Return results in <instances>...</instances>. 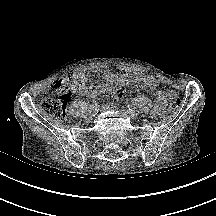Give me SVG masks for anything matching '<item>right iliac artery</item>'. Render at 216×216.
Wrapping results in <instances>:
<instances>
[{"label":"right iliac artery","mask_w":216,"mask_h":216,"mask_svg":"<svg viewBox=\"0 0 216 216\" xmlns=\"http://www.w3.org/2000/svg\"><path fill=\"white\" fill-rule=\"evenodd\" d=\"M98 110H99V105H98V103H94L93 105H91V106L89 107V111H93L94 113H97Z\"/></svg>","instance_id":"82829eb1"}]
</instances>
